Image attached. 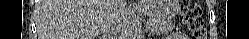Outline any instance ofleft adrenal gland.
Wrapping results in <instances>:
<instances>
[{
	"label": "left adrenal gland",
	"mask_w": 249,
	"mask_h": 39,
	"mask_svg": "<svg viewBox=\"0 0 249 39\" xmlns=\"http://www.w3.org/2000/svg\"><path fill=\"white\" fill-rule=\"evenodd\" d=\"M148 28H146V33L148 32V30H147Z\"/></svg>",
	"instance_id": "a2214340"
}]
</instances>
